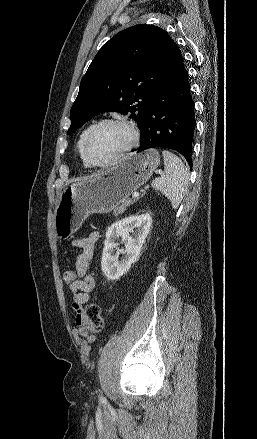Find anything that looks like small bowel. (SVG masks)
I'll list each match as a JSON object with an SVG mask.
<instances>
[{
    "mask_svg": "<svg viewBox=\"0 0 257 439\" xmlns=\"http://www.w3.org/2000/svg\"><path fill=\"white\" fill-rule=\"evenodd\" d=\"M99 237V233L94 231L72 241V246L81 250L75 261L77 279L73 285L69 286L72 307L76 311V327L73 330V336L76 344L85 354L91 351L92 344L96 341L92 325L83 316V305L88 302L96 286L93 276L88 273V268Z\"/></svg>",
    "mask_w": 257,
    "mask_h": 439,
    "instance_id": "small-bowel-1",
    "label": "small bowel"
}]
</instances>
